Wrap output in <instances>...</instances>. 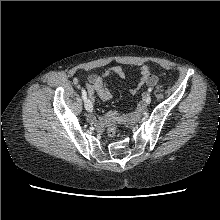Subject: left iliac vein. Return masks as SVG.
Masks as SVG:
<instances>
[{
	"label": "left iliac vein",
	"instance_id": "left-iliac-vein-1",
	"mask_svg": "<svg viewBox=\"0 0 220 220\" xmlns=\"http://www.w3.org/2000/svg\"><path fill=\"white\" fill-rule=\"evenodd\" d=\"M146 99H150V100H151V97L148 95ZM149 103H150V102H147V101H146V105L149 104Z\"/></svg>",
	"mask_w": 220,
	"mask_h": 220
}]
</instances>
